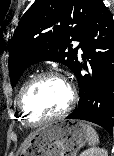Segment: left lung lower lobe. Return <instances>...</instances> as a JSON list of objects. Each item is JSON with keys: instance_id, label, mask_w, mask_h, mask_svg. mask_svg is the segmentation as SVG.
Masks as SVG:
<instances>
[{"instance_id": "1", "label": "left lung lower lobe", "mask_w": 114, "mask_h": 156, "mask_svg": "<svg viewBox=\"0 0 114 156\" xmlns=\"http://www.w3.org/2000/svg\"><path fill=\"white\" fill-rule=\"evenodd\" d=\"M82 63H77L80 99L68 119H81L96 123L110 134L114 125V21L100 0L89 26L81 39ZM82 67L87 72L81 74Z\"/></svg>"}]
</instances>
